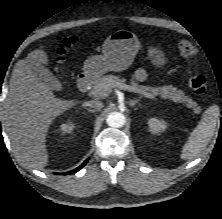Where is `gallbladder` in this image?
Returning a JSON list of instances; mask_svg holds the SVG:
<instances>
[{
  "label": "gallbladder",
  "mask_w": 222,
  "mask_h": 219,
  "mask_svg": "<svg viewBox=\"0 0 222 219\" xmlns=\"http://www.w3.org/2000/svg\"><path fill=\"white\" fill-rule=\"evenodd\" d=\"M32 69L33 72L36 74L37 78L45 85H47L51 90H63L61 82L44 65L36 62Z\"/></svg>",
  "instance_id": "bac80fb5"
}]
</instances>
